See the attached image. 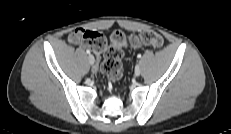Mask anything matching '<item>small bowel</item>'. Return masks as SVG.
<instances>
[{
	"label": "small bowel",
	"mask_w": 231,
	"mask_h": 134,
	"mask_svg": "<svg viewBox=\"0 0 231 134\" xmlns=\"http://www.w3.org/2000/svg\"><path fill=\"white\" fill-rule=\"evenodd\" d=\"M68 41H69V43H71V44H78V43H80L79 41H77V40L75 39V32H73L72 34L69 35Z\"/></svg>",
	"instance_id": "1"
}]
</instances>
